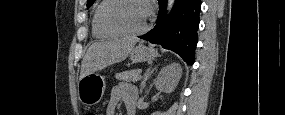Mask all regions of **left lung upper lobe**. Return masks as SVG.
Segmentation results:
<instances>
[{
    "mask_svg": "<svg viewBox=\"0 0 285 115\" xmlns=\"http://www.w3.org/2000/svg\"><path fill=\"white\" fill-rule=\"evenodd\" d=\"M94 2L95 0H87V8H89Z\"/></svg>",
    "mask_w": 285,
    "mask_h": 115,
    "instance_id": "obj_1",
    "label": "left lung upper lobe"
}]
</instances>
